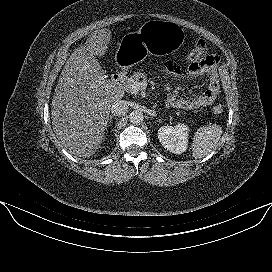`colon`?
<instances>
[{
    "mask_svg": "<svg viewBox=\"0 0 272 272\" xmlns=\"http://www.w3.org/2000/svg\"><path fill=\"white\" fill-rule=\"evenodd\" d=\"M203 55H204V51L202 49L196 48V49H193L192 51H190L189 53H187V55L185 57V60L188 63L193 64V63H196L199 60H201ZM222 112H223V106L222 105H215L213 107V113L214 114L220 115Z\"/></svg>",
    "mask_w": 272,
    "mask_h": 272,
    "instance_id": "obj_1",
    "label": "colon"
}]
</instances>
